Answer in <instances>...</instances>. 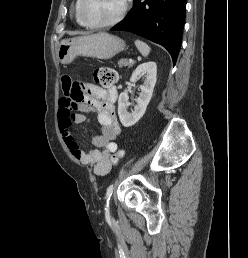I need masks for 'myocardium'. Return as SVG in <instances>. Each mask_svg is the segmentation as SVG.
<instances>
[{"mask_svg":"<svg viewBox=\"0 0 248 258\" xmlns=\"http://www.w3.org/2000/svg\"><path fill=\"white\" fill-rule=\"evenodd\" d=\"M128 1L129 0H122V6L118 14L114 18L101 23H94L87 19L83 11L84 0H79L78 11H79L80 18L82 19V21L86 26L91 28H104V27L116 25L125 17L128 10Z\"/></svg>","mask_w":248,"mask_h":258,"instance_id":"myocardium-1","label":"myocardium"}]
</instances>
